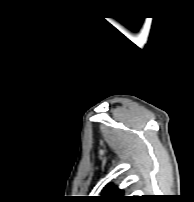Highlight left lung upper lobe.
Listing matches in <instances>:
<instances>
[{
    "instance_id": "obj_1",
    "label": "left lung upper lobe",
    "mask_w": 194,
    "mask_h": 202,
    "mask_svg": "<svg viewBox=\"0 0 194 202\" xmlns=\"http://www.w3.org/2000/svg\"><path fill=\"white\" fill-rule=\"evenodd\" d=\"M122 192L121 190L115 188V187H112L111 185L108 187V189H106L104 192H103V195L100 196V199L102 201H105V202H116V201H122V200H127L128 197L127 196H124L122 195Z\"/></svg>"
}]
</instances>
